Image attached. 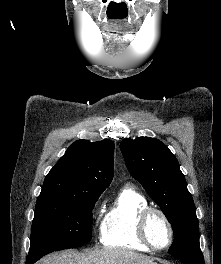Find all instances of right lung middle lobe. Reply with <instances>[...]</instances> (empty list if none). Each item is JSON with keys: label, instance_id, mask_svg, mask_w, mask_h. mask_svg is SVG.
<instances>
[{"label": "right lung middle lobe", "instance_id": "obj_1", "mask_svg": "<svg viewBox=\"0 0 221 264\" xmlns=\"http://www.w3.org/2000/svg\"><path fill=\"white\" fill-rule=\"evenodd\" d=\"M100 194L37 198L27 258L76 248L92 239V209Z\"/></svg>", "mask_w": 221, "mask_h": 264}]
</instances>
